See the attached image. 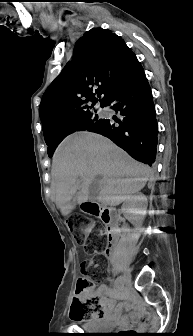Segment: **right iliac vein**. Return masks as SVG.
<instances>
[{
	"instance_id": "63e3f726",
	"label": "right iliac vein",
	"mask_w": 193,
	"mask_h": 336,
	"mask_svg": "<svg viewBox=\"0 0 193 336\" xmlns=\"http://www.w3.org/2000/svg\"><path fill=\"white\" fill-rule=\"evenodd\" d=\"M131 281V274L130 271L127 269L124 271L123 275H122V280L120 283V287L128 285Z\"/></svg>"
}]
</instances>
